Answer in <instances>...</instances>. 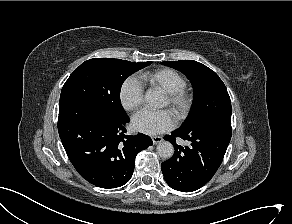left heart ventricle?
Listing matches in <instances>:
<instances>
[{
  "label": "left heart ventricle",
  "instance_id": "left-heart-ventricle-1",
  "mask_svg": "<svg viewBox=\"0 0 292 224\" xmlns=\"http://www.w3.org/2000/svg\"><path fill=\"white\" fill-rule=\"evenodd\" d=\"M165 105H167V99H165Z\"/></svg>",
  "mask_w": 292,
  "mask_h": 224
}]
</instances>
